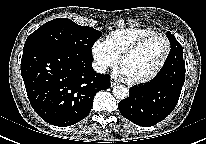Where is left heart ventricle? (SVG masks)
<instances>
[{
  "label": "left heart ventricle",
  "mask_w": 206,
  "mask_h": 144,
  "mask_svg": "<svg viewBox=\"0 0 206 144\" xmlns=\"http://www.w3.org/2000/svg\"><path fill=\"white\" fill-rule=\"evenodd\" d=\"M165 49L164 41L161 38H154L126 58L121 69L127 78H143L158 67L165 54Z\"/></svg>",
  "instance_id": "1"
}]
</instances>
